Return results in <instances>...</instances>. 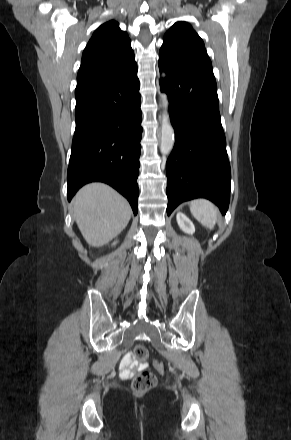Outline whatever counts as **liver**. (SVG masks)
Masks as SVG:
<instances>
[{
  "instance_id": "6515ba94",
  "label": "liver",
  "mask_w": 291,
  "mask_h": 440,
  "mask_svg": "<svg viewBox=\"0 0 291 440\" xmlns=\"http://www.w3.org/2000/svg\"><path fill=\"white\" fill-rule=\"evenodd\" d=\"M73 215L86 242L101 247L127 226L131 208L110 186L91 183L81 188L73 201Z\"/></svg>"
}]
</instances>
